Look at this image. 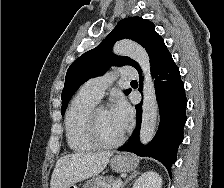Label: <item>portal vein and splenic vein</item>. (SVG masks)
Wrapping results in <instances>:
<instances>
[{"mask_svg":"<svg viewBox=\"0 0 224 188\" xmlns=\"http://www.w3.org/2000/svg\"><path fill=\"white\" fill-rule=\"evenodd\" d=\"M121 185H122V180L119 179L112 185V188H120Z\"/></svg>","mask_w":224,"mask_h":188,"instance_id":"1","label":"portal vein and splenic vein"}]
</instances>
